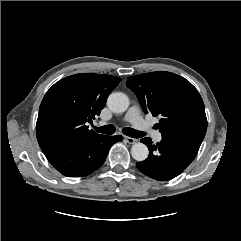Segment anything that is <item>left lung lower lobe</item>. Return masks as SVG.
I'll return each instance as SVG.
<instances>
[{
    "label": "left lung lower lobe",
    "instance_id": "left-lung-lower-lobe-1",
    "mask_svg": "<svg viewBox=\"0 0 241 241\" xmlns=\"http://www.w3.org/2000/svg\"><path fill=\"white\" fill-rule=\"evenodd\" d=\"M202 141L199 137L162 136L161 142L154 145L150 138H143L141 142L147 145L149 156L136 166L155 180H171L193 161Z\"/></svg>",
    "mask_w": 241,
    "mask_h": 241
}]
</instances>
